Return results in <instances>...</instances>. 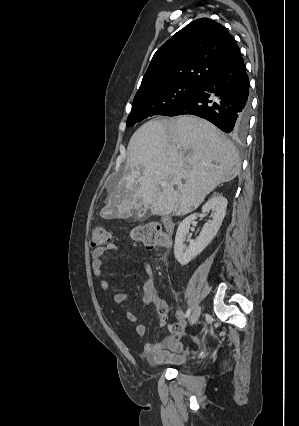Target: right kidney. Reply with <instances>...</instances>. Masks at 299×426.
<instances>
[{"label":"right kidney","mask_w":299,"mask_h":426,"mask_svg":"<svg viewBox=\"0 0 299 426\" xmlns=\"http://www.w3.org/2000/svg\"><path fill=\"white\" fill-rule=\"evenodd\" d=\"M227 204L228 202L225 197L220 194H214L202 206L200 214L194 213L186 217L179 224L175 237L174 255L181 265L188 264L213 240L225 217ZM210 211H212V220L204 225L197 240L194 241L187 237L192 221L197 219L198 216L202 217ZM186 241L189 242L188 246L184 244Z\"/></svg>","instance_id":"1"}]
</instances>
